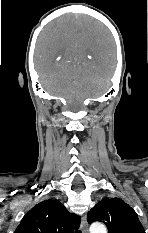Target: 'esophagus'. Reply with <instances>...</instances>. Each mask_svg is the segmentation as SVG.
I'll return each mask as SVG.
<instances>
[{
  "instance_id": "obj_1",
  "label": "esophagus",
  "mask_w": 148,
  "mask_h": 233,
  "mask_svg": "<svg viewBox=\"0 0 148 233\" xmlns=\"http://www.w3.org/2000/svg\"><path fill=\"white\" fill-rule=\"evenodd\" d=\"M81 227H82V233H89L88 231V223L85 216L81 219Z\"/></svg>"
}]
</instances>
